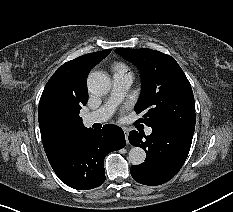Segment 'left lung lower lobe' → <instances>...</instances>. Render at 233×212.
Masks as SVG:
<instances>
[{
    "label": "left lung lower lobe",
    "mask_w": 233,
    "mask_h": 212,
    "mask_svg": "<svg viewBox=\"0 0 233 212\" xmlns=\"http://www.w3.org/2000/svg\"><path fill=\"white\" fill-rule=\"evenodd\" d=\"M193 133L173 128H153L152 134L131 131L129 142L143 148L146 160L131 166L135 181L144 185H160L173 178L183 166L192 143Z\"/></svg>",
    "instance_id": "obj_1"
}]
</instances>
